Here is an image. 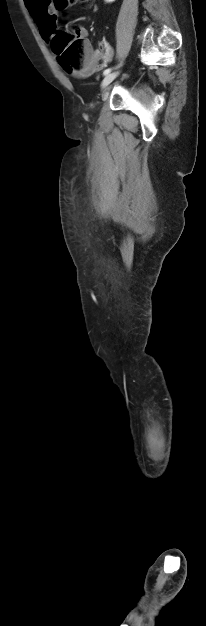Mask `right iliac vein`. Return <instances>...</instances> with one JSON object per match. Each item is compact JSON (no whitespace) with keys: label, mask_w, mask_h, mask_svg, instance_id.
Returning <instances> with one entry per match:
<instances>
[{"label":"right iliac vein","mask_w":206,"mask_h":626,"mask_svg":"<svg viewBox=\"0 0 206 626\" xmlns=\"http://www.w3.org/2000/svg\"><path fill=\"white\" fill-rule=\"evenodd\" d=\"M118 76V72H113L106 75L101 83L102 90H105L107 86Z\"/></svg>","instance_id":"1"}]
</instances>
